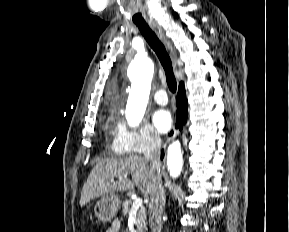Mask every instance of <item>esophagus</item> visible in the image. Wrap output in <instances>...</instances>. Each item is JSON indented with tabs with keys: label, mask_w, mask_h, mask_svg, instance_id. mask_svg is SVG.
<instances>
[{
	"label": "esophagus",
	"mask_w": 289,
	"mask_h": 232,
	"mask_svg": "<svg viewBox=\"0 0 289 232\" xmlns=\"http://www.w3.org/2000/svg\"><path fill=\"white\" fill-rule=\"evenodd\" d=\"M150 27L157 34V36L162 40V42L165 44V46L170 50L171 49L170 41L166 38L162 29L154 23L150 24Z\"/></svg>",
	"instance_id": "34e87169"
}]
</instances>
